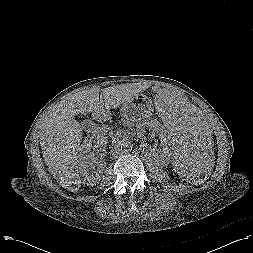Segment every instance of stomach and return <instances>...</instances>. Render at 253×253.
<instances>
[{
  "instance_id": "stomach-1",
  "label": "stomach",
  "mask_w": 253,
  "mask_h": 253,
  "mask_svg": "<svg viewBox=\"0 0 253 253\" xmlns=\"http://www.w3.org/2000/svg\"><path fill=\"white\" fill-rule=\"evenodd\" d=\"M154 111L152 100L145 95L139 94L134 100L121 106L124 118L130 121H140L151 116Z\"/></svg>"
}]
</instances>
